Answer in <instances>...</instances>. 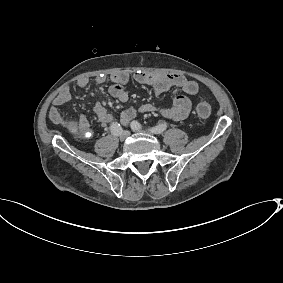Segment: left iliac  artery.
Returning a JSON list of instances; mask_svg holds the SVG:
<instances>
[{
	"label": "left iliac artery",
	"instance_id": "obj_1",
	"mask_svg": "<svg viewBox=\"0 0 283 283\" xmlns=\"http://www.w3.org/2000/svg\"><path fill=\"white\" fill-rule=\"evenodd\" d=\"M136 127L139 129H142L143 126L138 122V121H132L131 122V127ZM167 125L166 124H160L155 127L147 128L148 131L154 134H162L164 130L166 129Z\"/></svg>",
	"mask_w": 283,
	"mask_h": 283
}]
</instances>
